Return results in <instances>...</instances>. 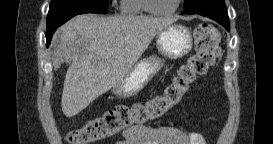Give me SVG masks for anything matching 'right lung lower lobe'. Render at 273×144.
I'll return each instance as SVG.
<instances>
[{
  "label": "right lung lower lobe",
  "mask_w": 273,
  "mask_h": 144,
  "mask_svg": "<svg viewBox=\"0 0 273 144\" xmlns=\"http://www.w3.org/2000/svg\"><path fill=\"white\" fill-rule=\"evenodd\" d=\"M84 13H90V12L72 13V14L67 15V16L61 18L60 20H58L57 23H55L54 28L51 31L46 33V46L47 47L49 46L51 39H52V35L59 26H61L62 24H64L66 21H68L72 17L76 16L77 14H84Z\"/></svg>",
  "instance_id": "right-lung-lower-lobe-1"
}]
</instances>
